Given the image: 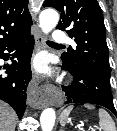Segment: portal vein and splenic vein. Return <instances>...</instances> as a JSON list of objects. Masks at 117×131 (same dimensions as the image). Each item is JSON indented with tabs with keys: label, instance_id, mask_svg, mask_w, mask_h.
<instances>
[{
	"label": "portal vein and splenic vein",
	"instance_id": "18ae733b",
	"mask_svg": "<svg viewBox=\"0 0 117 131\" xmlns=\"http://www.w3.org/2000/svg\"><path fill=\"white\" fill-rule=\"evenodd\" d=\"M82 129V128H81ZM92 131H95V129L94 128H90ZM83 130V129H82Z\"/></svg>",
	"mask_w": 117,
	"mask_h": 131
}]
</instances>
